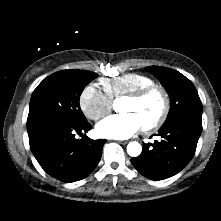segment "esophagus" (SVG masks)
Returning a JSON list of instances; mask_svg holds the SVG:
<instances>
[{"label":"esophagus","instance_id":"1","mask_svg":"<svg viewBox=\"0 0 221 221\" xmlns=\"http://www.w3.org/2000/svg\"><path fill=\"white\" fill-rule=\"evenodd\" d=\"M118 143L125 145L128 143V141H118Z\"/></svg>","mask_w":221,"mask_h":221}]
</instances>
